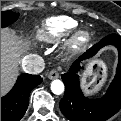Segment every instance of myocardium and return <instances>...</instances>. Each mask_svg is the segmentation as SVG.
Segmentation results:
<instances>
[{
  "mask_svg": "<svg viewBox=\"0 0 121 121\" xmlns=\"http://www.w3.org/2000/svg\"><path fill=\"white\" fill-rule=\"evenodd\" d=\"M91 40V33L86 30H80L74 33L64 44V52L71 55L82 50Z\"/></svg>",
  "mask_w": 121,
  "mask_h": 121,
  "instance_id": "f54148a6",
  "label": "myocardium"
}]
</instances>
